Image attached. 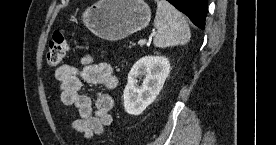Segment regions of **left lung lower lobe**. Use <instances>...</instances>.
Instances as JSON below:
<instances>
[{"mask_svg":"<svg viewBox=\"0 0 276 145\" xmlns=\"http://www.w3.org/2000/svg\"><path fill=\"white\" fill-rule=\"evenodd\" d=\"M186 14L200 29L205 28L208 0H167Z\"/></svg>","mask_w":276,"mask_h":145,"instance_id":"left-lung-lower-lobe-1","label":"left lung lower lobe"}]
</instances>
